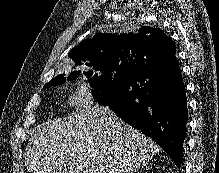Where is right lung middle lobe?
Segmentation results:
<instances>
[{"label":"right lung middle lobe","instance_id":"1","mask_svg":"<svg viewBox=\"0 0 219 173\" xmlns=\"http://www.w3.org/2000/svg\"><path fill=\"white\" fill-rule=\"evenodd\" d=\"M136 67L137 65L133 63H118L112 65L107 64L102 65L99 69L93 71V73L89 75L87 74L90 86L93 88V96L95 100L100 105H105L117 86L125 78L132 74ZM77 77V75H72L68 77V80H73ZM60 78L63 79L59 82L46 85L44 88L56 86L66 81V78H64L63 75H61L59 78H56L55 80Z\"/></svg>","mask_w":219,"mask_h":173}]
</instances>
